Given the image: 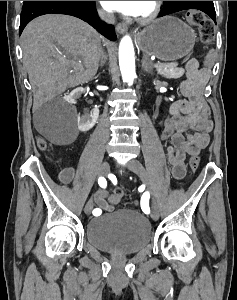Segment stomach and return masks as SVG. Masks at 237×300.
<instances>
[{"mask_svg": "<svg viewBox=\"0 0 237 300\" xmlns=\"http://www.w3.org/2000/svg\"><path fill=\"white\" fill-rule=\"evenodd\" d=\"M136 41L139 49L147 55L161 61H177L192 51L196 35L177 17H162L151 21L148 27L137 33Z\"/></svg>", "mask_w": 237, "mask_h": 300, "instance_id": "0dacf381", "label": "stomach"}]
</instances>
